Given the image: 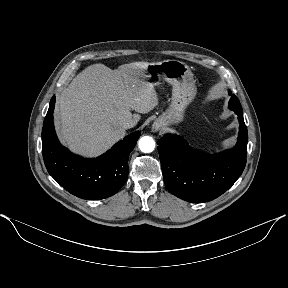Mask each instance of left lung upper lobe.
I'll list each match as a JSON object with an SVG mask.
<instances>
[{
  "label": "left lung upper lobe",
  "mask_w": 288,
  "mask_h": 288,
  "mask_svg": "<svg viewBox=\"0 0 288 288\" xmlns=\"http://www.w3.org/2000/svg\"><path fill=\"white\" fill-rule=\"evenodd\" d=\"M229 95L231 96V99L229 101V108L233 111H238V112H242V107H241V104L238 100V98L231 93V91H229Z\"/></svg>",
  "instance_id": "left-lung-upper-lobe-1"
}]
</instances>
